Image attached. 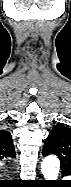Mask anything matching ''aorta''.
<instances>
[{
  "label": "aorta",
  "instance_id": "aorta-1",
  "mask_svg": "<svg viewBox=\"0 0 71 187\" xmlns=\"http://www.w3.org/2000/svg\"><path fill=\"white\" fill-rule=\"evenodd\" d=\"M60 161L54 155L44 158L41 164V170L46 180H56L59 174Z\"/></svg>",
  "mask_w": 71,
  "mask_h": 187
}]
</instances>
